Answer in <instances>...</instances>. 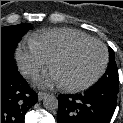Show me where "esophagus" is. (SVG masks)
Masks as SVG:
<instances>
[{
  "label": "esophagus",
  "instance_id": "obj_1",
  "mask_svg": "<svg viewBox=\"0 0 123 123\" xmlns=\"http://www.w3.org/2000/svg\"><path fill=\"white\" fill-rule=\"evenodd\" d=\"M47 95H48V93H45V92H38V99H39V100H42V99H44Z\"/></svg>",
  "mask_w": 123,
  "mask_h": 123
}]
</instances>
